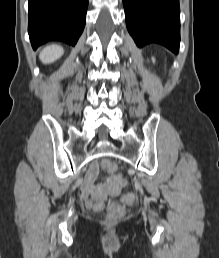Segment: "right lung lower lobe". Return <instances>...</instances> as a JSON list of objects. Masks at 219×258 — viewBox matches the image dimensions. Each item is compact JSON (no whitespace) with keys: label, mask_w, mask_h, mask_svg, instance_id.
<instances>
[{"label":"right lung lower lobe","mask_w":219,"mask_h":258,"mask_svg":"<svg viewBox=\"0 0 219 258\" xmlns=\"http://www.w3.org/2000/svg\"><path fill=\"white\" fill-rule=\"evenodd\" d=\"M88 0H29L28 33L33 49L49 41L75 46L85 22Z\"/></svg>","instance_id":"1"}]
</instances>
